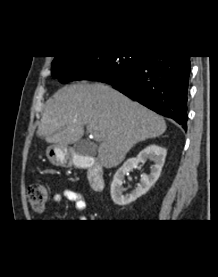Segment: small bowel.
Returning <instances> with one entry per match:
<instances>
[{"label": "small bowel", "mask_w": 218, "mask_h": 277, "mask_svg": "<svg viewBox=\"0 0 218 277\" xmlns=\"http://www.w3.org/2000/svg\"><path fill=\"white\" fill-rule=\"evenodd\" d=\"M63 200H68L73 202L76 210L79 212L84 211L87 207L86 196L83 193L72 189H65L60 193L54 194L52 197V204L58 205ZM81 219L83 220L84 217H82Z\"/></svg>", "instance_id": "obj_1"}]
</instances>
